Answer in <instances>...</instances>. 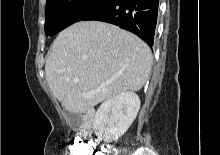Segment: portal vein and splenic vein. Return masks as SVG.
I'll return each mask as SVG.
<instances>
[{
  "mask_svg": "<svg viewBox=\"0 0 220 155\" xmlns=\"http://www.w3.org/2000/svg\"><path fill=\"white\" fill-rule=\"evenodd\" d=\"M75 83H78L79 82V80H78V78H74V80H73ZM92 94H84V96H86V97H89V96H91Z\"/></svg>",
  "mask_w": 220,
  "mask_h": 155,
  "instance_id": "portal-vein-and-splenic-vein-1",
  "label": "portal vein and splenic vein"
}]
</instances>
